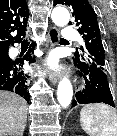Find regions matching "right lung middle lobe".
Wrapping results in <instances>:
<instances>
[{"instance_id":"obj_1","label":"right lung middle lobe","mask_w":117,"mask_h":136,"mask_svg":"<svg viewBox=\"0 0 117 136\" xmlns=\"http://www.w3.org/2000/svg\"><path fill=\"white\" fill-rule=\"evenodd\" d=\"M8 56V53H1L0 54V58H2V57H7Z\"/></svg>"}]
</instances>
